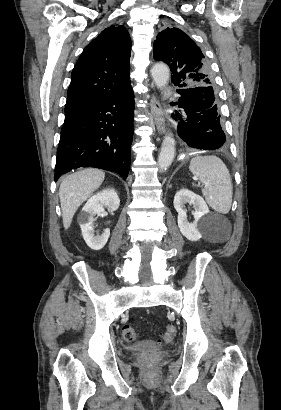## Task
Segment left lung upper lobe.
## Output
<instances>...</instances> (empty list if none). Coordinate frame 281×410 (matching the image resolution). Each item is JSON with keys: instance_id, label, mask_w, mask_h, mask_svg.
Listing matches in <instances>:
<instances>
[{"instance_id": "1", "label": "left lung upper lobe", "mask_w": 281, "mask_h": 410, "mask_svg": "<svg viewBox=\"0 0 281 410\" xmlns=\"http://www.w3.org/2000/svg\"><path fill=\"white\" fill-rule=\"evenodd\" d=\"M153 56L169 65L172 83L178 88L214 85L210 66L200 48L178 28H167L158 34Z\"/></svg>"}]
</instances>
